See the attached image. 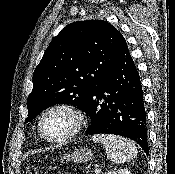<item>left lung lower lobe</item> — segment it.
<instances>
[{"mask_svg":"<svg viewBox=\"0 0 175 174\" xmlns=\"http://www.w3.org/2000/svg\"><path fill=\"white\" fill-rule=\"evenodd\" d=\"M91 119L86 134H114L137 142L148 155L147 122L139 73L128 47L90 92L84 109Z\"/></svg>","mask_w":175,"mask_h":174,"instance_id":"left-lung-lower-lobe-1","label":"left lung lower lobe"}]
</instances>
